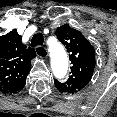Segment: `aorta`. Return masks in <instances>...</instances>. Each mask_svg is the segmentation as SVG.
<instances>
[{"label": "aorta", "mask_w": 117, "mask_h": 117, "mask_svg": "<svg viewBox=\"0 0 117 117\" xmlns=\"http://www.w3.org/2000/svg\"><path fill=\"white\" fill-rule=\"evenodd\" d=\"M49 52L54 75L57 78H63L68 69V57L64 47L60 43L54 42L49 45Z\"/></svg>", "instance_id": "obj_1"}]
</instances>
